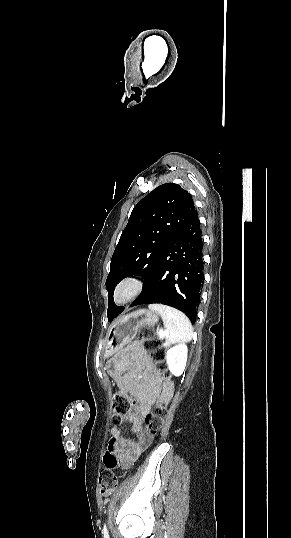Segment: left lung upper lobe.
Listing matches in <instances>:
<instances>
[{
	"label": "left lung upper lobe",
	"instance_id": "obj_1",
	"mask_svg": "<svg viewBox=\"0 0 291 538\" xmlns=\"http://www.w3.org/2000/svg\"><path fill=\"white\" fill-rule=\"evenodd\" d=\"M196 214L191 194L175 183L160 185L137 203L111 258L106 280L109 321L123 309L113 301L116 285L129 275L146 282L174 237Z\"/></svg>",
	"mask_w": 291,
	"mask_h": 538
}]
</instances>
